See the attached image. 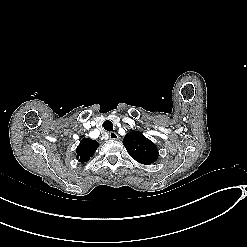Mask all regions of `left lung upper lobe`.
Wrapping results in <instances>:
<instances>
[{
	"label": "left lung upper lobe",
	"instance_id": "left-lung-upper-lobe-1",
	"mask_svg": "<svg viewBox=\"0 0 247 247\" xmlns=\"http://www.w3.org/2000/svg\"><path fill=\"white\" fill-rule=\"evenodd\" d=\"M129 155L137 162L149 165L158 158L156 145L138 131L128 133L123 139Z\"/></svg>",
	"mask_w": 247,
	"mask_h": 247
}]
</instances>
